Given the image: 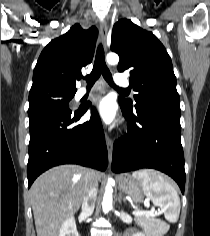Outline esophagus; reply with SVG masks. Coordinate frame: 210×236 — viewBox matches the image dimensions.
I'll return each instance as SVG.
<instances>
[{
	"mask_svg": "<svg viewBox=\"0 0 210 236\" xmlns=\"http://www.w3.org/2000/svg\"><path fill=\"white\" fill-rule=\"evenodd\" d=\"M107 32H108L107 24L105 22H101L100 23V34H101V38H102V42H103V46H104L105 50L107 49V47H106ZM105 140H106L109 161L111 162L112 154H113V141L107 133L105 136Z\"/></svg>",
	"mask_w": 210,
	"mask_h": 236,
	"instance_id": "esophagus-1",
	"label": "esophagus"
}]
</instances>
